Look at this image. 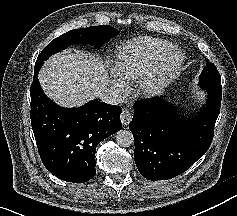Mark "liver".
Instances as JSON below:
<instances>
[{"label":"liver","instance_id":"obj_1","mask_svg":"<svg viewBox=\"0 0 237 216\" xmlns=\"http://www.w3.org/2000/svg\"><path fill=\"white\" fill-rule=\"evenodd\" d=\"M109 64L94 63L91 56L68 50L50 59L39 80L48 96L62 105L76 106L99 95L109 82L117 81Z\"/></svg>","mask_w":237,"mask_h":216}]
</instances>
